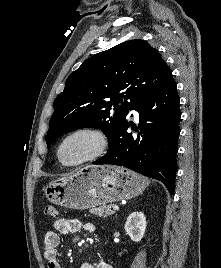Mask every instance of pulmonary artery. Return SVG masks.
<instances>
[{
	"mask_svg": "<svg viewBox=\"0 0 221 268\" xmlns=\"http://www.w3.org/2000/svg\"><path fill=\"white\" fill-rule=\"evenodd\" d=\"M130 112H131L132 114H134L135 116H137V112H136L134 109H131Z\"/></svg>",
	"mask_w": 221,
	"mask_h": 268,
	"instance_id": "pulmonary-artery-1",
	"label": "pulmonary artery"
}]
</instances>
